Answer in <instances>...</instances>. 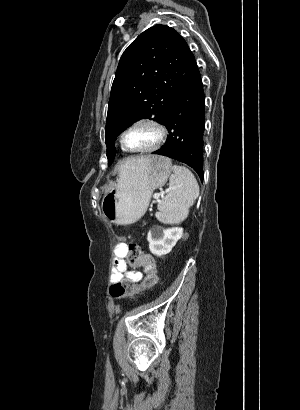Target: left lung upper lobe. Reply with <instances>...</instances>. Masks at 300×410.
<instances>
[{
  "label": "left lung upper lobe",
  "instance_id": "5c2ea615",
  "mask_svg": "<svg viewBox=\"0 0 300 410\" xmlns=\"http://www.w3.org/2000/svg\"><path fill=\"white\" fill-rule=\"evenodd\" d=\"M195 63L186 41L165 25L140 34L120 58L112 84L105 127L108 165L114 140L132 123L147 118L162 123Z\"/></svg>",
  "mask_w": 300,
  "mask_h": 410
}]
</instances>
